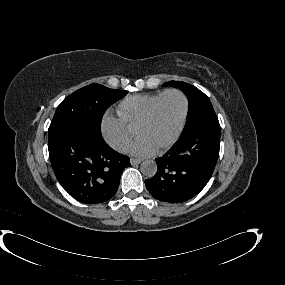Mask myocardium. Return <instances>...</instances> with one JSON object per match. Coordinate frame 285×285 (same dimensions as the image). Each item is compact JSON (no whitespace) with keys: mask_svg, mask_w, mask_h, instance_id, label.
<instances>
[{"mask_svg":"<svg viewBox=\"0 0 285 285\" xmlns=\"http://www.w3.org/2000/svg\"><path fill=\"white\" fill-rule=\"evenodd\" d=\"M169 94H178L181 96V98L183 99V102H184V111H183L181 122H180L179 127H178L176 133L174 134V136L167 143L157 147V151H164V150H167L170 147H172L179 140L180 136L183 133V130H184L186 122H187L188 113H189V101H188V98L185 95V93L179 89H169V90L164 91L161 94V96L156 100V102L153 104V106L151 107L146 118L141 122V124L137 128V134H138V132L144 126L148 125L151 122V120L155 116V113H156L157 108L159 107L160 103Z\"/></svg>","mask_w":285,"mask_h":285,"instance_id":"obj_1","label":"myocardium"}]
</instances>
